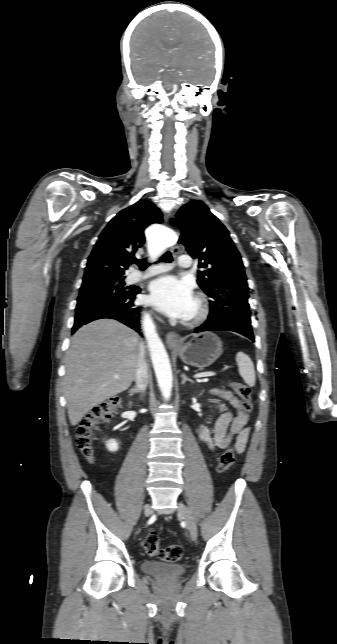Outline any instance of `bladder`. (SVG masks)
I'll return each mask as SVG.
<instances>
[{
  "instance_id": "bladder-1",
  "label": "bladder",
  "mask_w": 337,
  "mask_h": 644,
  "mask_svg": "<svg viewBox=\"0 0 337 644\" xmlns=\"http://www.w3.org/2000/svg\"><path fill=\"white\" fill-rule=\"evenodd\" d=\"M144 573L161 579H177L186 573V566L181 563H169L156 560H144L141 564Z\"/></svg>"
}]
</instances>
